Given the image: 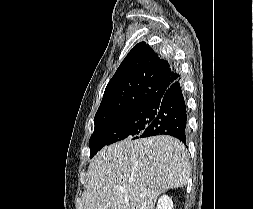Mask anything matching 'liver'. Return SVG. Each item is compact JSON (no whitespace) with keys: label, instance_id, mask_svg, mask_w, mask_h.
<instances>
[{"label":"liver","instance_id":"1","mask_svg":"<svg viewBox=\"0 0 253 209\" xmlns=\"http://www.w3.org/2000/svg\"><path fill=\"white\" fill-rule=\"evenodd\" d=\"M190 164L185 146L168 135L127 139L92 159L84 209H154L158 196L184 187Z\"/></svg>","mask_w":253,"mask_h":209}]
</instances>
